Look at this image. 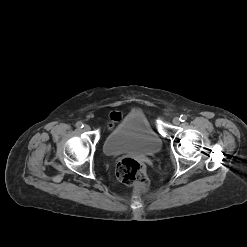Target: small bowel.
<instances>
[{
  "instance_id": "obj_1",
  "label": "small bowel",
  "mask_w": 247,
  "mask_h": 247,
  "mask_svg": "<svg viewBox=\"0 0 247 247\" xmlns=\"http://www.w3.org/2000/svg\"><path fill=\"white\" fill-rule=\"evenodd\" d=\"M120 118H121V114L118 112H113L110 115V119L112 123L118 121Z\"/></svg>"
}]
</instances>
